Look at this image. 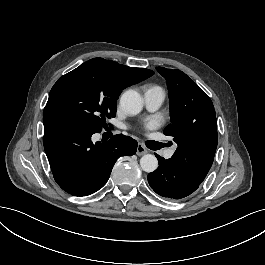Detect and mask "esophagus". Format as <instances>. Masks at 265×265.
<instances>
[{"mask_svg": "<svg viewBox=\"0 0 265 265\" xmlns=\"http://www.w3.org/2000/svg\"><path fill=\"white\" fill-rule=\"evenodd\" d=\"M146 153H148V150L145 148V146L142 143H138L136 154L138 156H142Z\"/></svg>", "mask_w": 265, "mask_h": 265, "instance_id": "1", "label": "esophagus"}]
</instances>
